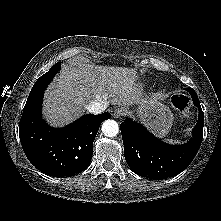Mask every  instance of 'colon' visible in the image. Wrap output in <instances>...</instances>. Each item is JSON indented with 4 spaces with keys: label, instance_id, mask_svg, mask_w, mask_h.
Returning a JSON list of instances; mask_svg holds the SVG:
<instances>
[{
    "label": "colon",
    "instance_id": "obj_1",
    "mask_svg": "<svg viewBox=\"0 0 221 221\" xmlns=\"http://www.w3.org/2000/svg\"><path fill=\"white\" fill-rule=\"evenodd\" d=\"M173 106L185 117L190 116L189 97L185 93H176L172 96Z\"/></svg>",
    "mask_w": 221,
    "mask_h": 221
}]
</instances>
